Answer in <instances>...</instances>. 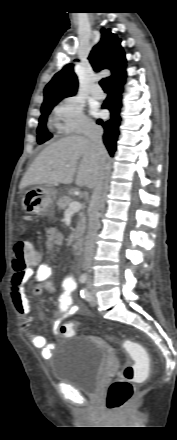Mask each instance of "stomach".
Here are the masks:
<instances>
[{"label": "stomach", "mask_w": 177, "mask_h": 440, "mask_svg": "<svg viewBox=\"0 0 177 440\" xmlns=\"http://www.w3.org/2000/svg\"><path fill=\"white\" fill-rule=\"evenodd\" d=\"M54 193L49 186L33 187L24 193L22 209L31 215L51 216L55 207Z\"/></svg>", "instance_id": "0dacf381"}]
</instances>
